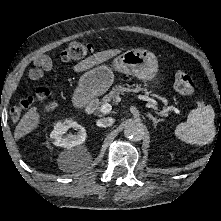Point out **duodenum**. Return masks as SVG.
I'll list each match as a JSON object with an SVG mask.
<instances>
[{"label":"duodenum","mask_w":221,"mask_h":221,"mask_svg":"<svg viewBox=\"0 0 221 221\" xmlns=\"http://www.w3.org/2000/svg\"><path fill=\"white\" fill-rule=\"evenodd\" d=\"M77 106L82 107L86 114H93L98 107L96 99H88L85 95L79 94L75 99Z\"/></svg>","instance_id":"410a0bca"}]
</instances>
